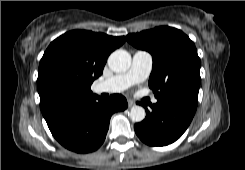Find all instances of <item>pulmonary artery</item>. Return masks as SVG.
I'll use <instances>...</instances> for the list:
<instances>
[{"label":"pulmonary artery","mask_w":245,"mask_h":170,"mask_svg":"<svg viewBox=\"0 0 245 170\" xmlns=\"http://www.w3.org/2000/svg\"><path fill=\"white\" fill-rule=\"evenodd\" d=\"M152 63V55L149 52L138 50L133 55L132 64L128 71L116 74L102 83H99L96 86V91L98 93L122 92L130 86L144 81L151 72ZM152 102L156 103L157 99L154 98Z\"/></svg>","instance_id":"e3ab8cb5"}]
</instances>
